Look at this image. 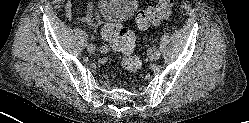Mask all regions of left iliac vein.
<instances>
[{
	"label": "left iliac vein",
	"instance_id": "left-iliac-vein-1",
	"mask_svg": "<svg viewBox=\"0 0 249 123\" xmlns=\"http://www.w3.org/2000/svg\"><path fill=\"white\" fill-rule=\"evenodd\" d=\"M156 51L154 50V49H150L149 51H148V57H149V59L150 60H154V59H156Z\"/></svg>",
	"mask_w": 249,
	"mask_h": 123
}]
</instances>
